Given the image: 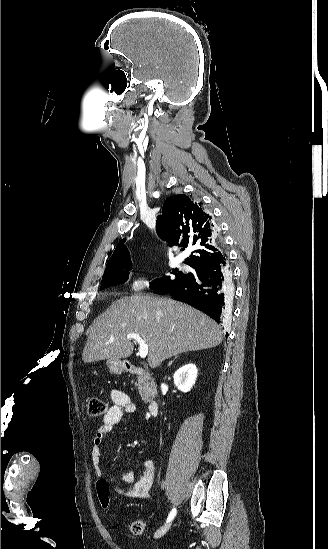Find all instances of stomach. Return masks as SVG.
I'll return each mask as SVG.
<instances>
[{
  "label": "stomach",
  "mask_w": 328,
  "mask_h": 549,
  "mask_svg": "<svg viewBox=\"0 0 328 549\" xmlns=\"http://www.w3.org/2000/svg\"><path fill=\"white\" fill-rule=\"evenodd\" d=\"M106 365L113 375H120V373H125V371L128 373L129 369H131L129 361H120V359H108Z\"/></svg>",
  "instance_id": "1"
}]
</instances>
